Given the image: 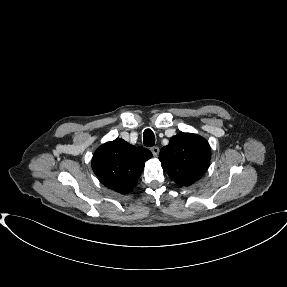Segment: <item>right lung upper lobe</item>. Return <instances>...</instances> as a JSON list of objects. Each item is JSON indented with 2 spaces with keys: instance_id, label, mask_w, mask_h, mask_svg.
I'll return each instance as SVG.
<instances>
[{
  "instance_id": "1",
  "label": "right lung upper lobe",
  "mask_w": 287,
  "mask_h": 287,
  "mask_svg": "<svg viewBox=\"0 0 287 287\" xmlns=\"http://www.w3.org/2000/svg\"><path fill=\"white\" fill-rule=\"evenodd\" d=\"M152 153L144 147H135L123 139L101 145L92 158V168L100 182L122 194L134 189L145 162Z\"/></svg>"
}]
</instances>
